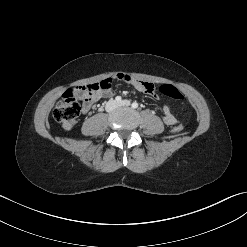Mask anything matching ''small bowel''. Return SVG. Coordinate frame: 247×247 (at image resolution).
I'll return each instance as SVG.
<instances>
[{
	"label": "small bowel",
	"mask_w": 247,
	"mask_h": 247,
	"mask_svg": "<svg viewBox=\"0 0 247 247\" xmlns=\"http://www.w3.org/2000/svg\"><path fill=\"white\" fill-rule=\"evenodd\" d=\"M118 78L123 80V81H125V82H127V83H129V84H131L139 92L151 93V94H154V92H155L154 85L149 83V82L132 78L131 76H129L127 74H119ZM113 94H114V90L111 87L109 90L103 92L99 96V98H101V97H110ZM77 97L83 101V112L84 113L89 112V110L91 109V107H92L94 102L88 101L86 99L85 95L80 91H78ZM163 121L167 125H173V124H175L177 122L174 113L172 112L170 106H168V105H165L163 107Z\"/></svg>",
	"instance_id": "c3829d8e"
}]
</instances>
